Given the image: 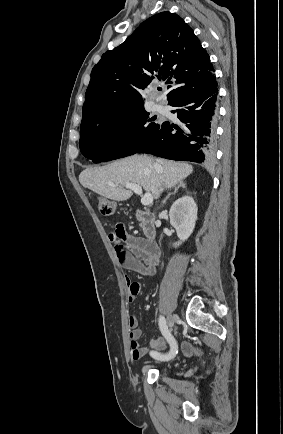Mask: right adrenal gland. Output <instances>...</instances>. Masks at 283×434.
<instances>
[{"label": "right adrenal gland", "mask_w": 283, "mask_h": 434, "mask_svg": "<svg viewBox=\"0 0 283 434\" xmlns=\"http://www.w3.org/2000/svg\"><path fill=\"white\" fill-rule=\"evenodd\" d=\"M179 188H186V185H185V183H184L183 181H180V182H179L178 186L175 187L173 193H169V194L167 195V197L163 200L162 205H164V204L167 202V200L169 199V197H170L171 195H175V194L177 193V191H178Z\"/></svg>", "instance_id": "1"}]
</instances>
